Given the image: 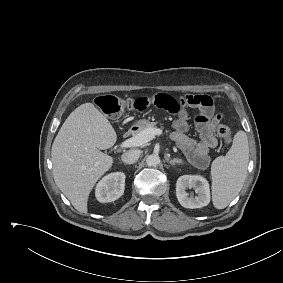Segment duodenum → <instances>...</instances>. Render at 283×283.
I'll use <instances>...</instances> for the list:
<instances>
[{
    "instance_id": "410a0bca",
    "label": "duodenum",
    "mask_w": 283,
    "mask_h": 283,
    "mask_svg": "<svg viewBox=\"0 0 283 283\" xmlns=\"http://www.w3.org/2000/svg\"><path fill=\"white\" fill-rule=\"evenodd\" d=\"M137 130L136 127H132L130 129H128L125 133H124V137H129L131 136L133 133H135Z\"/></svg>"
}]
</instances>
